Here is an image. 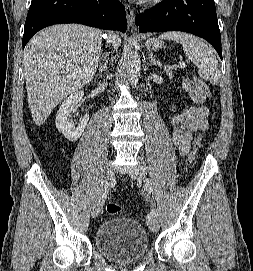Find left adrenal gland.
Listing matches in <instances>:
<instances>
[{"mask_svg":"<svg viewBox=\"0 0 253 271\" xmlns=\"http://www.w3.org/2000/svg\"><path fill=\"white\" fill-rule=\"evenodd\" d=\"M148 58L150 61V65H155V66H158L159 68L162 67V63L159 60L155 59V57L153 56V53H149Z\"/></svg>","mask_w":253,"mask_h":271,"instance_id":"1","label":"left adrenal gland"}]
</instances>
